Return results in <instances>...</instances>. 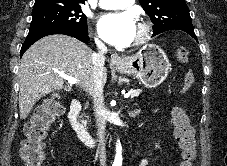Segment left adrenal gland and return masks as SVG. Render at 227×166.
<instances>
[{
  "instance_id": "obj_1",
  "label": "left adrenal gland",
  "mask_w": 227,
  "mask_h": 166,
  "mask_svg": "<svg viewBox=\"0 0 227 166\" xmlns=\"http://www.w3.org/2000/svg\"><path fill=\"white\" fill-rule=\"evenodd\" d=\"M136 113H137V111L135 110V111L130 112L129 114H130L131 116H135Z\"/></svg>"
}]
</instances>
